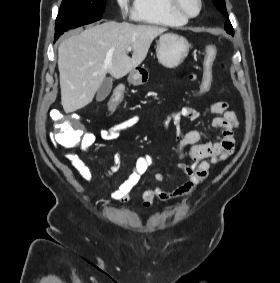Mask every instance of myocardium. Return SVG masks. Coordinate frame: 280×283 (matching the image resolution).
Masks as SVG:
<instances>
[{"mask_svg":"<svg viewBox=\"0 0 280 283\" xmlns=\"http://www.w3.org/2000/svg\"><path fill=\"white\" fill-rule=\"evenodd\" d=\"M169 2H170V6L173 9V11H175L179 15L185 17L186 19H191V18L197 17L201 13L202 8H203V1L202 0H197L198 9L195 13H191L188 10H186L182 5L181 0H169Z\"/></svg>","mask_w":280,"mask_h":283,"instance_id":"1","label":"myocardium"}]
</instances>
